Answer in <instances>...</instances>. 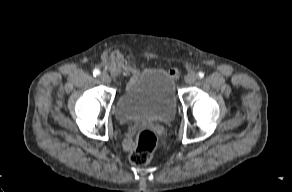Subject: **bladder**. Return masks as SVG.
Returning a JSON list of instances; mask_svg holds the SVG:
<instances>
[{
    "label": "bladder",
    "instance_id": "1",
    "mask_svg": "<svg viewBox=\"0 0 292 192\" xmlns=\"http://www.w3.org/2000/svg\"><path fill=\"white\" fill-rule=\"evenodd\" d=\"M175 112L173 78L160 68H148L132 76L115 104L116 117L123 123L169 122Z\"/></svg>",
    "mask_w": 292,
    "mask_h": 192
}]
</instances>
